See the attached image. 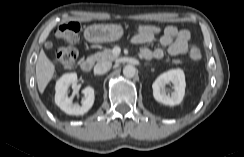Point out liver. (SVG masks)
Wrapping results in <instances>:
<instances>
[{
    "label": "liver",
    "mask_w": 244,
    "mask_h": 157,
    "mask_svg": "<svg viewBox=\"0 0 244 157\" xmlns=\"http://www.w3.org/2000/svg\"><path fill=\"white\" fill-rule=\"evenodd\" d=\"M55 73V66L41 50L36 63V80L39 92L42 94Z\"/></svg>",
    "instance_id": "obj_1"
}]
</instances>
